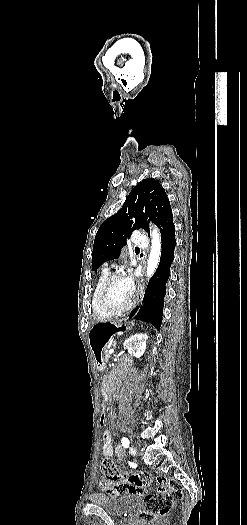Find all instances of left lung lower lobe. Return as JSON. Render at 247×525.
<instances>
[{
  "label": "left lung lower lobe",
  "instance_id": "obj_1",
  "mask_svg": "<svg viewBox=\"0 0 247 525\" xmlns=\"http://www.w3.org/2000/svg\"><path fill=\"white\" fill-rule=\"evenodd\" d=\"M162 239V252L159 266L151 278L143 304L130 315L133 319L153 324L157 329L162 323L163 300L166 294L165 285L169 278L170 266L174 259L176 246L173 215H169L159 226Z\"/></svg>",
  "mask_w": 247,
  "mask_h": 525
}]
</instances>
